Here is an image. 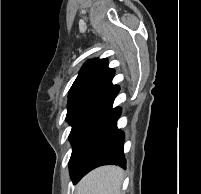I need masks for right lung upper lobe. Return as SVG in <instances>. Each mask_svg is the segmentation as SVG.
<instances>
[{
    "label": "right lung upper lobe",
    "mask_w": 201,
    "mask_h": 194,
    "mask_svg": "<svg viewBox=\"0 0 201 194\" xmlns=\"http://www.w3.org/2000/svg\"><path fill=\"white\" fill-rule=\"evenodd\" d=\"M114 70L108 67L106 59L88 61L80 70L68 96V104L92 102L116 85L112 84Z\"/></svg>",
    "instance_id": "right-lung-upper-lobe-1"
}]
</instances>
